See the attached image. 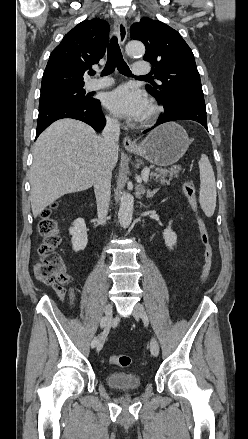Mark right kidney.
Listing matches in <instances>:
<instances>
[{"mask_svg": "<svg viewBox=\"0 0 248 439\" xmlns=\"http://www.w3.org/2000/svg\"><path fill=\"white\" fill-rule=\"evenodd\" d=\"M69 233L72 236V248L75 252L85 249L87 239V228L84 219L78 218L72 223V227L69 229Z\"/></svg>", "mask_w": 248, "mask_h": 439, "instance_id": "right-kidney-1", "label": "right kidney"}]
</instances>
